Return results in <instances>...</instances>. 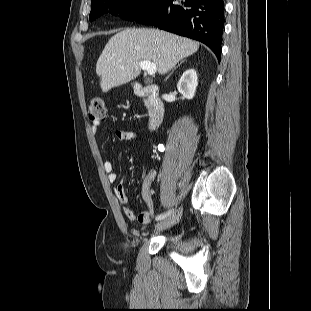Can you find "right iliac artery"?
Segmentation results:
<instances>
[{"label":"right iliac artery","instance_id":"82829eb1","mask_svg":"<svg viewBox=\"0 0 311 311\" xmlns=\"http://www.w3.org/2000/svg\"><path fill=\"white\" fill-rule=\"evenodd\" d=\"M172 210L166 212V213H161L156 217V220H163L165 218H167L168 216H170L172 214Z\"/></svg>","mask_w":311,"mask_h":311}]
</instances>
